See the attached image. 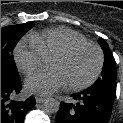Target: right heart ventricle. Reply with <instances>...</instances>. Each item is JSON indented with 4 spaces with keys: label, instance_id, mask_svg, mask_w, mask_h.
<instances>
[{
    "label": "right heart ventricle",
    "instance_id": "1",
    "mask_svg": "<svg viewBox=\"0 0 123 123\" xmlns=\"http://www.w3.org/2000/svg\"><path fill=\"white\" fill-rule=\"evenodd\" d=\"M29 39L40 49L44 57L53 56L75 43L87 41L81 33L65 27H55L35 32L29 36Z\"/></svg>",
    "mask_w": 123,
    "mask_h": 123
}]
</instances>
